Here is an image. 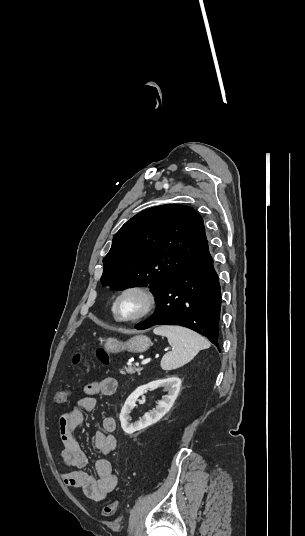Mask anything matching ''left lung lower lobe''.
<instances>
[{
    "label": "left lung lower lobe",
    "mask_w": 305,
    "mask_h": 536,
    "mask_svg": "<svg viewBox=\"0 0 305 536\" xmlns=\"http://www.w3.org/2000/svg\"><path fill=\"white\" fill-rule=\"evenodd\" d=\"M157 309L137 329L154 325H180L218 343L221 292L208 245L156 294Z\"/></svg>",
    "instance_id": "0a47b994"
}]
</instances>
